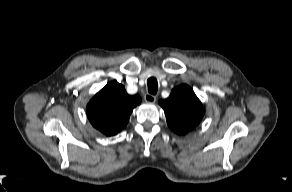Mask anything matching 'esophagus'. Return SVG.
Wrapping results in <instances>:
<instances>
[{
	"label": "esophagus",
	"mask_w": 292,
	"mask_h": 192,
	"mask_svg": "<svg viewBox=\"0 0 292 192\" xmlns=\"http://www.w3.org/2000/svg\"><path fill=\"white\" fill-rule=\"evenodd\" d=\"M144 100L149 103H154L156 102V96L147 93L144 95Z\"/></svg>",
	"instance_id": "esophagus-1"
}]
</instances>
